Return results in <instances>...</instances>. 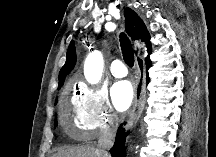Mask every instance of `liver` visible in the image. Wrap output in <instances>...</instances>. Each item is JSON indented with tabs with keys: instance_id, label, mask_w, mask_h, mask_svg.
Segmentation results:
<instances>
[{
	"instance_id": "6515ba94",
	"label": "liver",
	"mask_w": 216,
	"mask_h": 157,
	"mask_svg": "<svg viewBox=\"0 0 216 157\" xmlns=\"http://www.w3.org/2000/svg\"><path fill=\"white\" fill-rule=\"evenodd\" d=\"M53 157H103L97 148L91 146H82L61 150Z\"/></svg>"
}]
</instances>
